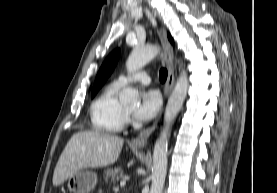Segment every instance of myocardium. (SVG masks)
Instances as JSON below:
<instances>
[{
  "instance_id": "f54148a6",
  "label": "myocardium",
  "mask_w": 277,
  "mask_h": 193,
  "mask_svg": "<svg viewBox=\"0 0 277 193\" xmlns=\"http://www.w3.org/2000/svg\"><path fill=\"white\" fill-rule=\"evenodd\" d=\"M123 111H124V114H125L126 117L130 114V112H128V111H127L126 109H124V108H123Z\"/></svg>"
}]
</instances>
